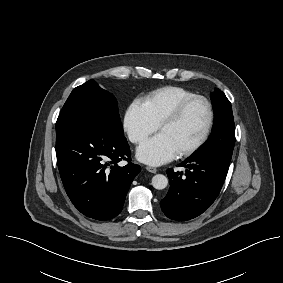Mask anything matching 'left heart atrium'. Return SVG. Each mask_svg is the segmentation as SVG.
<instances>
[{
    "label": "left heart atrium",
    "mask_w": 283,
    "mask_h": 283,
    "mask_svg": "<svg viewBox=\"0 0 283 283\" xmlns=\"http://www.w3.org/2000/svg\"><path fill=\"white\" fill-rule=\"evenodd\" d=\"M136 154L141 162L159 166L175 159L178 151L165 135L159 133L144 141L137 148Z\"/></svg>",
    "instance_id": "obj_1"
}]
</instances>
